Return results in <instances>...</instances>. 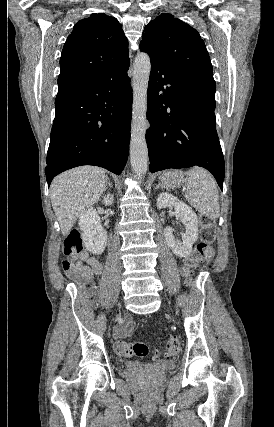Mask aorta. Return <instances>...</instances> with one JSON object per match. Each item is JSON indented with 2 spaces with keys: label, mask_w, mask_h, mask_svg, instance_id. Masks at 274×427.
<instances>
[{
  "label": "aorta",
  "mask_w": 274,
  "mask_h": 427,
  "mask_svg": "<svg viewBox=\"0 0 274 427\" xmlns=\"http://www.w3.org/2000/svg\"><path fill=\"white\" fill-rule=\"evenodd\" d=\"M151 71L150 57L138 53L133 63V106L130 140V161L136 177H143L148 169L146 130L149 122L147 112V90Z\"/></svg>",
  "instance_id": "aorta-1"
}]
</instances>
